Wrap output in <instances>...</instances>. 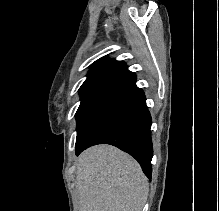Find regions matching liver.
Returning a JSON list of instances; mask_svg holds the SVG:
<instances>
[{"mask_svg":"<svg viewBox=\"0 0 219 211\" xmlns=\"http://www.w3.org/2000/svg\"><path fill=\"white\" fill-rule=\"evenodd\" d=\"M76 181L79 211H142L148 197L138 161L106 143L80 153Z\"/></svg>","mask_w":219,"mask_h":211,"instance_id":"6515ba94","label":"liver"}]
</instances>
